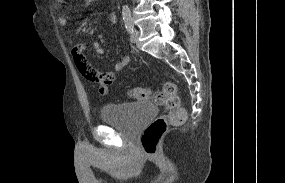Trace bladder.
Segmentation results:
<instances>
[{"label":"bladder","instance_id":"obj_1","mask_svg":"<svg viewBox=\"0 0 285 183\" xmlns=\"http://www.w3.org/2000/svg\"><path fill=\"white\" fill-rule=\"evenodd\" d=\"M157 114V107L149 102L104 105L101 120L117 125L129 134H136Z\"/></svg>","mask_w":285,"mask_h":183}]
</instances>
